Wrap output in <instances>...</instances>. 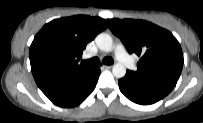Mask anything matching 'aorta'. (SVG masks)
Segmentation results:
<instances>
[{"label": "aorta", "instance_id": "aorta-1", "mask_svg": "<svg viewBox=\"0 0 203 123\" xmlns=\"http://www.w3.org/2000/svg\"><path fill=\"white\" fill-rule=\"evenodd\" d=\"M97 47L104 52H111L113 50V39L107 33H100L95 38ZM112 73L116 78H123L126 74V68L121 63L114 64Z\"/></svg>", "mask_w": 203, "mask_h": 123}]
</instances>
